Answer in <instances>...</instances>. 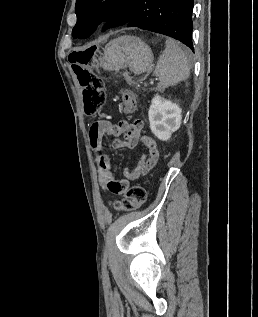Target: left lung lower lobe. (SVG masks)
I'll list each match as a JSON object with an SVG mask.
<instances>
[{"label":"left lung lower lobe","instance_id":"0a47b994","mask_svg":"<svg viewBox=\"0 0 258 317\" xmlns=\"http://www.w3.org/2000/svg\"><path fill=\"white\" fill-rule=\"evenodd\" d=\"M193 6L194 0H137L126 26L170 36L194 51Z\"/></svg>","mask_w":258,"mask_h":317}]
</instances>
